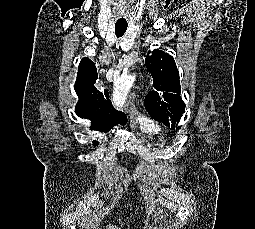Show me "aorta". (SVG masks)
<instances>
[{"label": "aorta", "instance_id": "762f6f07", "mask_svg": "<svg viewBox=\"0 0 255 229\" xmlns=\"http://www.w3.org/2000/svg\"><path fill=\"white\" fill-rule=\"evenodd\" d=\"M134 81L135 75H126L122 76L118 81L114 83L112 102L117 109H121L123 107L128 92L130 91Z\"/></svg>", "mask_w": 255, "mask_h": 229}]
</instances>
